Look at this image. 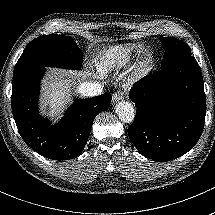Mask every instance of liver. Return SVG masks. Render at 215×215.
Here are the masks:
<instances>
[{
    "label": "liver",
    "instance_id": "obj_1",
    "mask_svg": "<svg viewBox=\"0 0 215 215\" xmlns=\"http://www.w3.org/2000/svg\"><path fill=\"white\" fill-rule=\"evenodd\" d=\"M72 74V73H71ZM63 81L60 77H52L47 83L44 91V108L49 104L58 102L54 107L59 108L61 106L60 91H62Z\"/></svg>",
    "mask_w": 215,
    "mask_h": 215
}]
</instances>
